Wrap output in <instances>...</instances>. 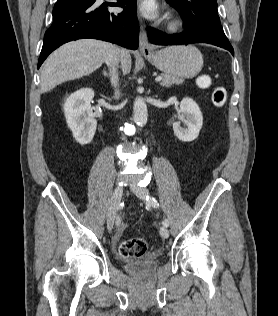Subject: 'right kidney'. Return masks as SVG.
<instances>
[{
    "instance_id": "ca27d5eb",
    "label": "right kidney",
    "mask_w": 278,
    "mask_h": 316,
    "mask_svg": "<svg viewBox=\"0 0 278 316\" xmlns=\"http://www.w3.org/2000/svg\"><path fill=\"white\" fill-rule=\"evenodd\" d=\"M94 91L82 88L71 94L64 103L67 125L80 145L89 144L95 134L97 121L91 108Z\"/></svg>"
}]
</instances>
